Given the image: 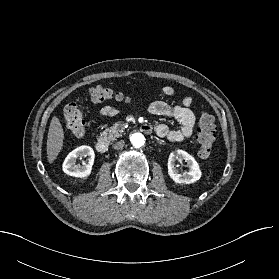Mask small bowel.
<instances>
[{
  "label": "small bowel",
  "instance_id": "1",
  "mask_svg": "<svg viewBox=\"0 0 279 279\" xmlns=\"http://www.w3.org/2000/svg\"><path fill=\"white\" fill-rule=\"evenodd\" d=\"M160 95L165 97H173L176 91L171 86H165L161 89ZM193 99L190 96L183 98L180 105H170L164 100H157L150 104L148 112L154 116H160L167 119H173L181 124L179 130H170L163 123H156L153 127L154 133L169 141L180 142L189 138L193 133L196 117L192 109ZM100 114L103 117H114L118 114L116 107L106 105L101 108Z\"/></svg>",
  "mask_w": 279,
  "mask_h": 279
}]
</instances>
